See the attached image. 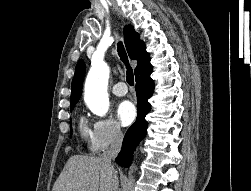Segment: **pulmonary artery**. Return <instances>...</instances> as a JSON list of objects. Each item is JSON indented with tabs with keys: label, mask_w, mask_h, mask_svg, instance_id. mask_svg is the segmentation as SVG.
<instances>
[{
	"label": "pulmonary artery",
	"mask_w": 251,
	"mask_h": 191,
	"mask_svg": "<svg viewBox=\"0 0 251 191\" xmlns=\"http://www.w3.org/2000/svg\"><path fill=\"white\" fill-rule=\"evenodd\" d=\"M112 92L116 96H124L128 92V87L124 82H118L112 87Z\"/></svg>",
	"instance_id": "pulmonary-artery-1"
}]
</instances>
